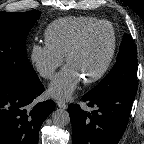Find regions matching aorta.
<instances>
[{
  "mask_svg": "<svg viewBox=\"0 0 144 144\" xmlns=\"http://www.w3.org/2000/svg\"><path fill=\"white\" fill-rule=\"evenodd\" d=\"M53 123L58 127H64L69 124L70 116L68 111L64 109H57L52 114Z\"/></svg>",
  "mask_w": 144,
  "mask_h": 144,
  "instance_id": "obj_1",
  "label": "aorta"
}]
</instances>
